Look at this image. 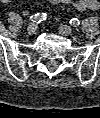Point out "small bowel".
I'll return each mask as SVG.
<instances>
[{
  "mask_svg": "<svg viewBox=\"0 0 100 118\" xmlns=\"http://www.w3.org/2000/svg\"><path fill=\"white\" fill-rule=\"evenodd\" d=\"M11 0H0L2 3H8ZM52 4H69L79 11L97 10L100 7L98 0H48Z\"/></svg>",
  "mask_w": 100,
  "mask_h": 118,
  "instance_id": "1",
  "label": "small bowel"
}]
</instances>
